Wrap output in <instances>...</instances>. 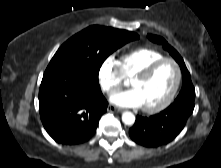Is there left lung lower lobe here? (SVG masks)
<instances>
[{
	"label": "left lung lower lobe",
	"mask_w": 221,
	"mask_h": 168,
	"mask_svg": "<svg viewBox=\"0 0 221 168\" xmlns=\"http://www.w3.org/2000/svg\"><path fill=\"white\" fill-rule=\"evenodd\" d=\"M194 94L178 95L175 101L159 114L137 116L129 130L133 141L145 147H158L174 140L184 128L194 110Z\"/></svg>",
	"instance_id": "left-lung-lower-lobe-1"
}]
</instances>
